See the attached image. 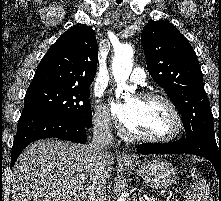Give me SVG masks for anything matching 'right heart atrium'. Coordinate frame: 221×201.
<instances>
[{"label":"right heart atrium","mask_w":221,"mask_h":201,"mask_svg":"<svg viewBox=\"0 0 221 201\" xmlns=\"http://www.w3.org/2000/svg\"><path fill=\"white\" fill-rule=\"evenodd\" d=\"M93 123L94 125L101 130H107L110 127V118L105 109V107L98 103L94 109L93 113Z\"/></svg>","instance_id":"right-heart-atrium-1"}]
</instances>
